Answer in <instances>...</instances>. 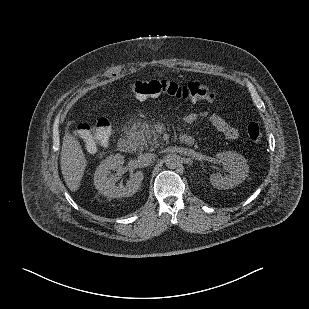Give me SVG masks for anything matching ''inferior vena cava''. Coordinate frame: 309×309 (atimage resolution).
<instances>
[{
	"instance_id": "1",
	"label": "inferior vena cava",
	"mask_w": 309,
	"mask_h": 309,
	"mask_svg": "<svg viewBox=\"0 0 309 309\" xmlns=\"http://www.w3.org/2000/svg\"><path fill=\"white\" fill-rule=\"evenodd\" d=\"M156 157L153 153H141L138 157L139 162L141 163H149L154 160Z\"/></svg>"
}]
</instances>
